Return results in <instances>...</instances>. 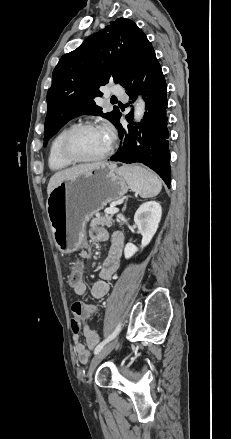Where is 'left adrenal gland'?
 <instances>
[{
    "label": "left adrenal gland",
    "instance_id": "a2214340",
    "mask_svg": "<svg viewBox=\"0 0 231 439\" xmlns=\"http://www.w3.org/2000/svg\"><path fill=\"white\" fill-rule=\"evenodd\" d=\"M126 202H127V199H126L125 204H124V206L122 208V212H124L126 210Z\"/></svg>",
    "mask_w": 231,
    "mask_h": 439
}]
</instances>
